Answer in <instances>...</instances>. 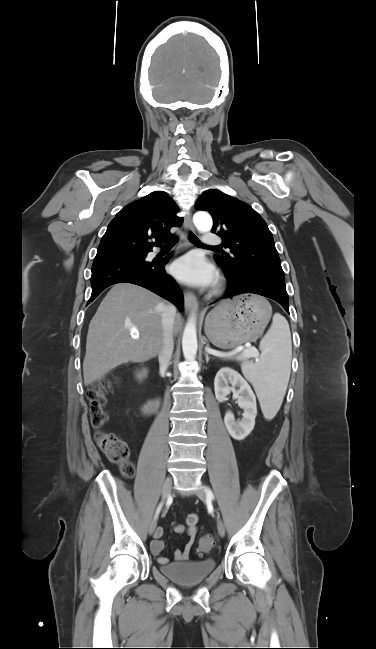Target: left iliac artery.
Listing matches in <instances>:
<instances>
[{
	"label": "left iliac artery",
	"mask_w": 376,
	"mask_h": 649,
	"mask_svg": "<svg viewBox=\"0 0 376 649\" xmlns=\"http://www.w3.org/2000/svg\"><path fill=\"white\" fill-rule=\"evenodd\" d=\"M207 496H208V498H213L214 497L211 490H207Z\"/></svg>",
	"instance_id": "1"
}]
</instances>
